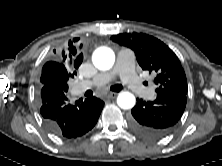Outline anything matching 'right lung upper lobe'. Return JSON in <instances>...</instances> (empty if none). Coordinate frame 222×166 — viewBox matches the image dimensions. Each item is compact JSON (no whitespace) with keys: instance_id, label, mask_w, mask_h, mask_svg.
I'll return each mask as SVG.
<instances>
[{"instance_id":"cb5924a9","label":"right lung upper lobe","mask_w":222,"mask_h":166,"mask_svg":"<svg viewBox=\"0 0 222 166\" xmlns=\"http://www.w3.org/2000/svg\"><path fill=\"white\" fill-rule=\"evenodd\" d=\"M81 46L79 38H74L58 49H54L53 60L45 63L42 68L41 84L52 85L67 92L68 79L76 75V69L83 61V54L80 52Z\"/></svg>"}]
</instances>
